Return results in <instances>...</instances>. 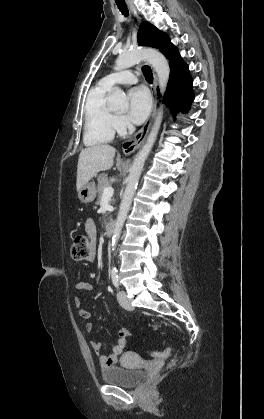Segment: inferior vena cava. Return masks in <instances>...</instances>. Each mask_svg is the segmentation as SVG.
<instances>
[{
    "label": "inferior vena cava",
    "instance_id": "1",
    "mask_svg": "<svg viewBox=\"0 0 264 419\" xmlns=\"http://www.w3.org/2000/svg\"><path fill=\"white\" fill-rule=\"evenodd\" d=\"M127 126L130 133L135 130L134 126L131 123H128Z\"/></svg>",
    "mask_w": 264,
    "mask_h": 419
}]
</instances>
